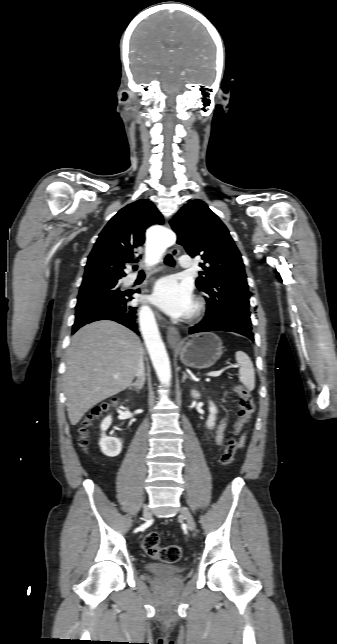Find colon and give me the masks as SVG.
Masks as SVG:
<instances>
[{"label":"colon","mask_w":337,"mask_h":644,"mask_svg":"<svg viewBox=\"0 0 337 644\" xmlns=\"http://www.w3.org/2000/svg\"><path fill=\"white\" fill-rule=\"evenodd\" d=\"M234 390L238 395V421L233 429V437L228 440L225 449L220 456V463L223 466H228L233 462L237 450L236 436L239 434L244 424L247 423L255 409L253 398L246 387H244L243 385H236L234 387ZM110 407L111 404H103L97 406L88 415L83 423V427L80 430L81 436L79 443L81 447H87L89 428L96 420L105 415L109 411ZM143 549L148 556L165 563L177 562L182 556V548L179 545L174 544L168 545L166 547H161L160 537L156 532H150L144 537Z\"/></svg>","instance_id":"1"}]
</instances>
